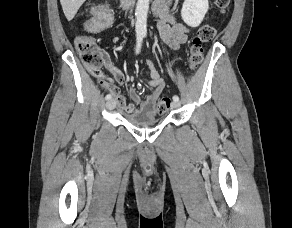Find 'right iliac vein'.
<instances>
[{"instance_id":"right-iliac-vein-1","label":"right iliac vein","mask_w":292,"mask_h":228,"mask_svg":"<svg viewBox=\"0 0 292 228\" xmlns=\"http://www.w3.org/2000/svg\"><path fill=\"white\" fill-rule=\"evenodd\" d=\"M115 100L114 99H110L107 103H106V107L109 110H112L115 107Z\"/></svg>"}]
</instances>
